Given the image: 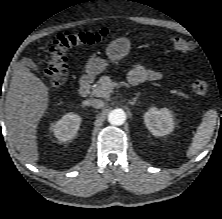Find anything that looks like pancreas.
<instances>
[{"mask_svg":"<svg viewBox=\"0 0 222 219\" xmlns=\"http://www.w3.org/2000/svg\"><path fill=\"white\" fill-rule=\"evenodd\" d=\"M114 86L115 83L110 79L109 76H102L99 79L96 87L93 88L92 95L99 98H107L112 92ZM174 93L178 96L187 97L180 91H175Z\"/></svg>","mask_w":222,"mask_h":219,"instance_id":"1","label":"pancreas"}]
</instances>
